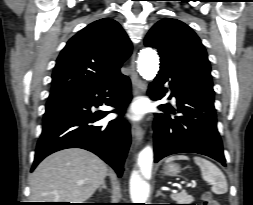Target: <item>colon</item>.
Here are the masks:
<instances>
[{
    "mask_svg": "<svg viewBox=\"0 0 253 205\" xmlns=\"http://www.w3.org/2000/svg\"><path fill=\"white\" fill-rule=\"evenodd\" d=\"M202 199L203 205H220L219 201L208 192L204 193Z\"/></svg>",
    "mask_w": 253,
    "mask_h": 205,
    "instance_id": "colon-1",
    "label": "colon"
}]
</instances>
